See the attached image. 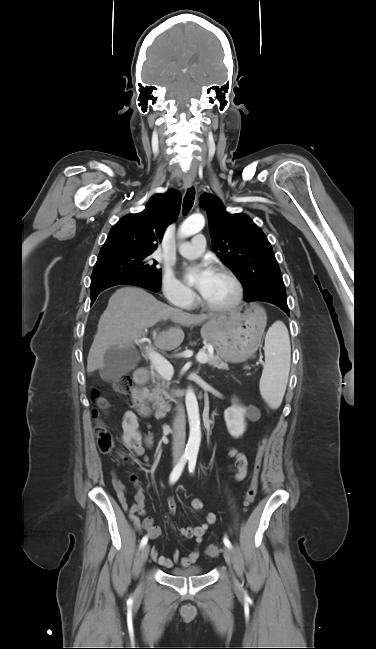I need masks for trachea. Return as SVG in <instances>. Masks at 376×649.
<instances>
[{
  "label": "trachea",
  "instance_id": "3493384b",
  "mask_svg": "<svg viewBox=\"0 0 376 649\" xmlns=\"http://www.w3.org/2000/svg\"><path fill=\"white\" fill-rule=\"evenodd\" d=\"M194 199H195V189L192 187L187 190V193L184 196V200H183L184 214L188 213L191 210L194 203Z\"/></svg>",
  "mask_w": 376,
  "mask_h": 649
}]
</instances>
